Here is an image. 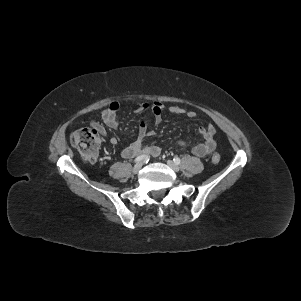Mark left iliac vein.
Wrapping results in <instances>:
<instances>
[{"label":"left iliac vein","mask_w":301,"mask_h":301,"mask_svg":"<svg viewBox=\"0 0 301 301\" xmlns=\"http://www.w3.org/2000/svg\"><path fill=\"white\" fill-rule=\"evenodd\" d=\"M167 165L175 172L179 171V166L175 164L172 160H167Z\"/></svg>","instance_id":"left-iliac-vein-1"}]
</instances>
